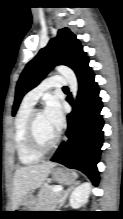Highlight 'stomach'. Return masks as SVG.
I'll list each match as a JSON object with an SVG mask.
<instances>
[{"instance_id":"1","label":"stomach","mask_w":123,"mask_h":219,"mask_svg":"<svg viewBox=\"0 0 123 219\" xmlns=\"http://www.w3.org/2000/svg\"><path fill=\"white\" fill-rule=\"evenodd\" d=\"M51 174L53 179L61 184H69L75 179V177L71 173L61 167L52 168ZM36 204V199L33 197L32 194H29L21 204L22 209L24 210L18 211H34Z\"/></svg>"}]
</instances>
